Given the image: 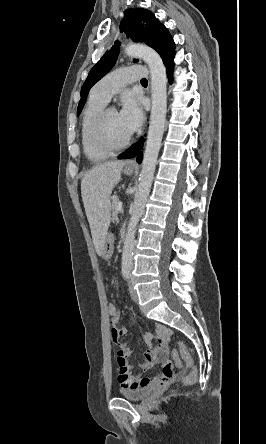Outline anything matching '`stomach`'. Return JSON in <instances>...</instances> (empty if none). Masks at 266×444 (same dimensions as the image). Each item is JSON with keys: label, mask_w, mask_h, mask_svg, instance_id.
<instances>
[{"label": "stomach", "mask_w": 266, "mask_h": 444, "mask_svg": "<svg viewBox=\"0 0 266 444\" xmlns=\"http://www.w3.org/2000/svg\"><path fill=\"white\" fill-rule=\"evenodd\" d=\"M134 172H135V169H130V168L124 169V173L126 175H132V174H134ZM112 249H113V236L110 233H108L106 236L104 245H103L102 256L104 258L109 259L112 255Z\"/></svg>", "instance_id": "obj_1"}]
</instances>
